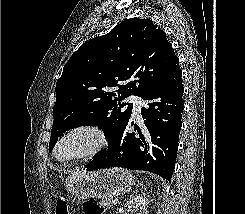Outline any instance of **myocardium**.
<instances>
[{"label": "myocardium", "instance_id": "obj_1", "mask_svg": "<svg viewBox=\"0 0 245 214\" xmlns=\"http://www.w3.org/2000/svg\"><path fill=\"white\" fill-rule=\"evenodd\" d=\"M80 132L89 133L94 137L95 142L93 146L89 150L77 156L70 157V158H60L58 156V148L60 144L68 136ZM107 145H108V137L106 136V134L102 129H100L98 126L91 125V124H80L68 129L58 138L53 148V156L56 160L62 163H66V164L77 163L80 161H84L96 157L107 147Z\"/></svg>", "mask_w": 245, "mask_h": 214}]
</instances>
